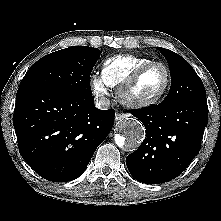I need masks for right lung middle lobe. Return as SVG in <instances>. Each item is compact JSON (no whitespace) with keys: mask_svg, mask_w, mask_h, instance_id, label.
<instances>
[{"mask_svg":"<svg viewBox=\"0 0 221 221\" xmlns=\"http://www.w3.org/2000/svg\"><path fill=\"white\" fill-rule=\"evenodd\" d=\"M100 54L99 49L88 46H71L48 54L32 65L20 87H41L90 95V74Z\"/></svg>","mask_w":221,"mask_h":221,"instance_id":"1","label":"right lung middle lobe"}]
</instances>
